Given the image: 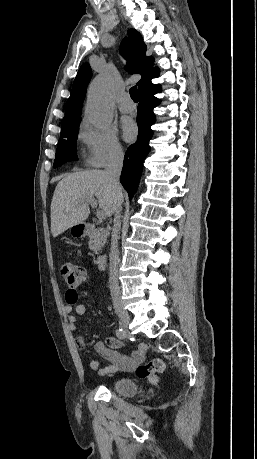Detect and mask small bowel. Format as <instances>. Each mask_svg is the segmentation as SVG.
<instances>
[{
    "mask_svg": "<svg viewBox=\"0 0 257 459\" xmlns=\"http://www.w3.org/2000/svg\"><path fill=\"white\" fill-rule=\"evenodd\" d=\"M81 293L76 288H69L66 291L65 312L68 319V327L71 331L78 329L77 316H82L87 312L84 303H78ZM75 344L80 350H84L87 344L82 337L78 335L75 338ZM122 347V342L115 338H107L105 342L96 341L94 343L95 351L105 358L109 363L104 368H99V362L96 359L89 361V367L97 371L101 376L109 375L117 371H133L143 360L145 347L141 346L138 350L132 352L130 356L121 354L118 350Z\"/></svg>",
    "mask_w": 257,
    "mask_h": 459,
    "instance_id": "c3829d8e",
    "label": "small bowel"
}]
</instances>
